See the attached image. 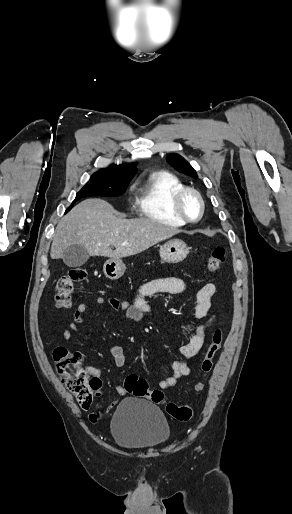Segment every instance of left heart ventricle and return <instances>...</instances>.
<instances>
[{"mask_svg":"<svg viewBox=\"0 0 292 514\" xmlns=\"http://www.w3.org/2000/svg\"><path fill=\"white\" fill-rule=\"evenodd\" d=\"M182 211L191 219L197 218L199 205L197 199L192 194H186L181 200Z\"/></svg>","mask_w":292,"mask_h":514,"instance_id":"1","label":"left heart ventricle"}]
</instances>
